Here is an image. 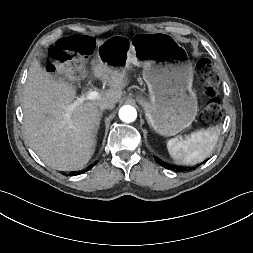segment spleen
Instances as JSON below:
<instances>
[{"instance_id":"obj_1","label":"spleen","mask_w":253,"mask_h":253,"mask_svg":"<svg viewBox=\"0 0 253 253\" xmlns=\"http://www.w3.org/2000/svg\"><path fill=\"white\" fill-rule=\"evenodd\" d=\"M220 135L218 126L192 132L185 140L177 138L167 142L170 156L177 164L195 165L208 158L217 144Z\"/></svg>"}]
</instances>
